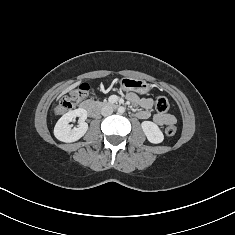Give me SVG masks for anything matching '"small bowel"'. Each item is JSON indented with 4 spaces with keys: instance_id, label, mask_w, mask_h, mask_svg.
<instances>
[{
    "instance_id": "obj_1",
    "label": "small bowel",
    "mask_w": 235,
    "mask_h": 235,
    "mask_svg": "<svg viewBox=\"0 0 235 235\" xmlns=\"http://www.w3.org/2000/svg\"><path fill=\"white\" fill-rule=\"evenodd\" d=\"M127 99L134 105L140 107V110L137 112V116L140 119H148L151 116V108L153 106V100L149 97L140 98L134 93L127 95ZM154 122L157 125H168L175 123V117L169 113H157L153 117Z\"/></svg>"
}]
</instances>
